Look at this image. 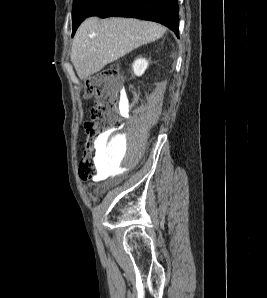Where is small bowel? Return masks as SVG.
Instances as JSON below:
<instances>
[{
    "mask_svg": "<svg viewBox=\"0 0 267 298\" xmlns=\"http://www.w3.org/2000/svg\"><path fill=\"white\" fill-rule=\"evenodd\" d=\"M118 134V131H110L109 133L106 134L105 138L106 140H113Z\"/></svg>",
    "mask_w": 267,
    "mask_h": 298,
    "instance_id": "1",
    "label": "small bowel"
}]
</instances>
